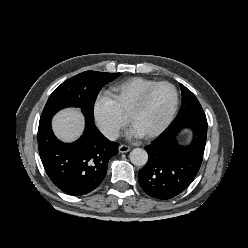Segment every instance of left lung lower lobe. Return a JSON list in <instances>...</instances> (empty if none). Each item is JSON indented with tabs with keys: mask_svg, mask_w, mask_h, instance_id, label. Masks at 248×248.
I'll return each mask as SVG.
<instances>
[{
	"mask_svg": "<svg viewBox=\"0 0 248 248\" xmlns=\"http://www.w3.org/2000/svg\"><path fill=\"white\" fill-rule=\"evenodd\" d=\"M184 128L193 132L187 146L176 143V135ZM207 137V121H181L169 126L152 144L145 147L148 162L138 172V181L149 196L171 199L183 192L196 177Z\"/></svg>",
	"mask_w": 248,
	"mask_h": 248,
	"instance_id": "left-lung-lower-lobe-1",
	"label": "left lung lower lobe"
}]
</instances>
